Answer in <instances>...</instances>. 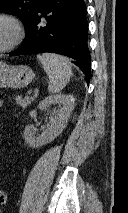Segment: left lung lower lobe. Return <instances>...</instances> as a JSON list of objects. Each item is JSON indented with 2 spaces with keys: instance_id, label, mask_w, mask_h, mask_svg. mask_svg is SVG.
<instances>
[{
  "instance_id": "left-lung-lower-lobe-1",
  "label": "left lung lower lobe",
  "mask_w": 128,
  "mask_h": 213,
  "mask_svg": "<svg viewBox=\"0 0 128 213\" xmlns=\"http://www.w3.org/2000/svg\"><path fill=\"white\" fill-rule=\"evenodd\" d=\"M88 22L84 0H39L26 38L10 56L52 52L75 59L86 75H91L87 46Z\"/></svg>"
}]
</instances>
